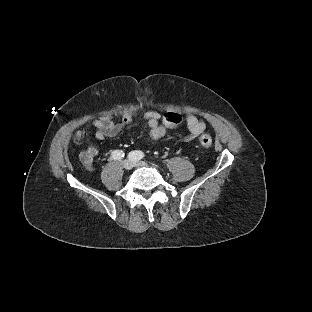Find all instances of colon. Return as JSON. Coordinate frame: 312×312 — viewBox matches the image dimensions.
I'll return each instance as SVG.
<instances>
[{
    "label": "colon",
    "instance_id": "1",
    "mask_svg": "<svg viewBox=\"0 0 312 312\" xmlns=\"http://www.w3.org/2000/svg\"><path fill=\"white\" fill-rule=\"evenodd\" d=\"M164 122L169 127H174L179 122V117L174 112H169L164 117ZM165 134V129L163 127H157L151 132V137L153 139L161 138ZM200 144L205 148L212 146V138L209 135H202L200 137Z\"/></svg>",
    "mask_w": 312,
    "mask_h": 312
}]
</instances>
